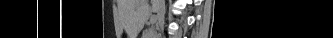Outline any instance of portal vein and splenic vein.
Segmentation results:
<instances>
[{
    "label": "portal vein and splenic vein",
    "mask_w": 333,
    "mask_h": 38,
    "mask_svg": "<svg viewBox=\"0 0 333 38\" xmlns=\"http://www.w3.org/2000/svg\"><path fill=\"white\" fill-rule=\"evenodd\" d=\"M157 21V16L156 15H152L151 17H150V22L151 23H155Z\"/></svg>",
    "instance_id": "1"
}]
</instances>
